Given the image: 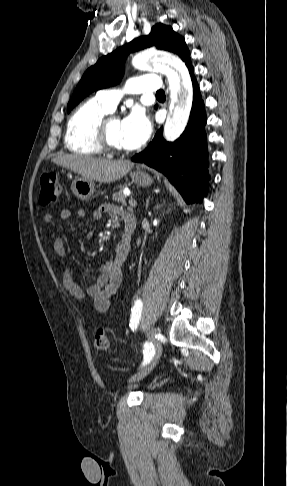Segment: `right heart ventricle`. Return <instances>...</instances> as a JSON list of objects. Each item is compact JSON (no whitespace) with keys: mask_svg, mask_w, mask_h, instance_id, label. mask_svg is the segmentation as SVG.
Segmentation results:
<instances>
[{"mask_svg":"<svg viewBox=\"0 0 287 486\" xmlns=\"http://www.w3.org/2000/svg\"><path fill=\"white\" fill-rule=\"evenodd\" d=\"M110 111L96 98L81 104L67 122L64 138L66 148L77 155L100 156L103 151L96 142V129Z\"/></svg>","mask_w":287,"mask_h":486,"instance_id":"obj_1","label":"right heart ventricle"}]
</instances>
